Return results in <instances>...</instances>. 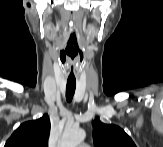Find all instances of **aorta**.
<instances>
[{"label":"aorta","instance_id":"1","mask_svg":"<svg viewBox=\"0 0 163 147\" xmlns=\"http://www.w3.org/2000/svg\"><path fill=\"white\" fill-rule=\"evenodd\" d=\"M85 138V131L81 128H66L58 141V147H77Z\"/></svg>","mask_w":163,"mask_h":147}]
</instances>
